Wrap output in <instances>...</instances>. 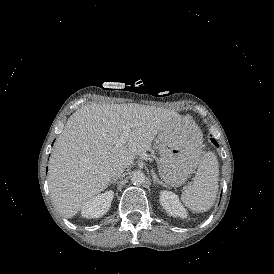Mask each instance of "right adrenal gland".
Listing matches in <instances>:
<instances>
[{
  "label": "right adrenal gland",
  "mask_w": 274,
  "mask_h": 274,
  "mask_svg": "<svg viewBox=\"0 0 274 274\" xmlns=\"http://www.w3.org/2000/svg\"><path fill=\"white\" fill-rule=\"evenodd\" d=\"M117 182V178L111 181V184L114 185Z\"/></svg>",
  "instance_id": "right-adrenal-gland-1"
}]
</instances>
